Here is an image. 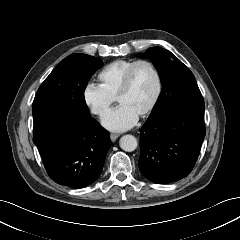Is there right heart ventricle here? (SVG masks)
I'll return each instance as SVG.
<instances>
[{
  "label": "right heart ventricle",
  "mask_w": 240,
  "mask_h": 240,
  "mask_svg": "<svg viewBox=\"0 0 240 240\" xmlns=\"http://www.w3.org/2000/svg\"><path fill=\"white\" fill-rule=\"evenodd\" d=\"M134 62L135 60L118 59L107 64L98 73L99 85L111 97L116 98L126 71Z\"/></svg>",
  "instance_id": "right-heart-ventricle-1"
}]
</instances>
